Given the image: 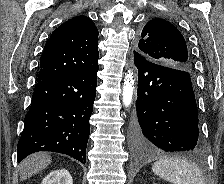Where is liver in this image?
Here are the masks:
<instances>
[{
	"label": "liver",
	"mask_w": 224,
	"mask_h": 184,
	"mask_svg": "<svg viewBox=\"0 0 224 184\" xmlns=\"http://www.w3.org/2000/svg\"><path fill=\"white\" fill-rule=\"evenodd\" d=\"M51 163V157L47 153L33 154L24 159L19 167L20 179L26 180L39 171L45 169Z\"/></svg>",
	"instance_id": "6515ba94"
}]
</instances>
